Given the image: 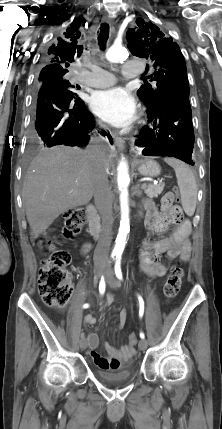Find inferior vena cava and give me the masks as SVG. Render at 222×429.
<instances>
[{
  "mask_svg": "<svg viewBox=\"0 0 222 429\" xmlns=\"http://www.w3.org/2000/svg\"><path fill=\"white\" fill-rule=\"evenodd\" d=\"M101 127H104L101 125ZM94 142L100 143L101 138H94ZM89 156L97 162L93 181V195L95 205L102 218V233L94 252V261H106L112 241L113 211L112 196L108 183L107 172L102 165V151L99 145L90 146L87 150Z\"/></svg>",
  "mask_w": 222,
  "mask_h": 429,
  "instance_id": "obj_1",
  "label": "inferior vena cava"
}]
</instances>
